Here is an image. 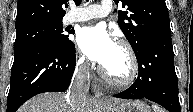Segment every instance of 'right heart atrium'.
<instances>
[{
	"mask_svg": "<svg viewBox=\"0 0 193 112\" xmlns=\"http://www.w3.org/2000/svg\"><path fill=\"white\" fill-rule=\"evenodd\" d=\"M76 67L79 71L87 73L89 71L90 65L84 56L79 55L76 60Z\"/></svg>",
	"mask_w": 193,
	"mask_h": 112,
	"instance_id": "obj_1",
	"label": "right heart atrium"
}]
</instances>
